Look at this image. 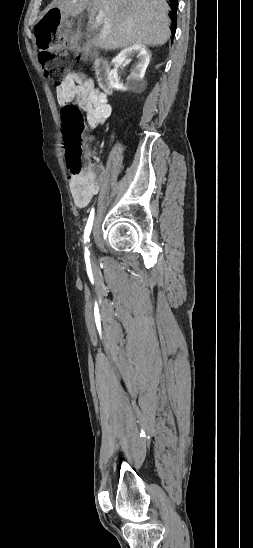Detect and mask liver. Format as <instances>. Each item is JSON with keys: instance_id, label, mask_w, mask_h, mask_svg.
<instances>
[{"instance_id": "obj_1", "label": "liver", "mask_w": 253, "mask_h": 548, "mask_svg": "<svg viewBox=\"0 0 253 548\" xmlns=\"http://www.w3.org/2000/svg\"><path fill=\"white\" fill-rule=\"evenodd\" d=\"M53 8L59 9L64 18L86 9L91 44L103 50L134 44L161 46L171 35L165 0H53L48 10Z\"/></svg>"}]
</instances>
